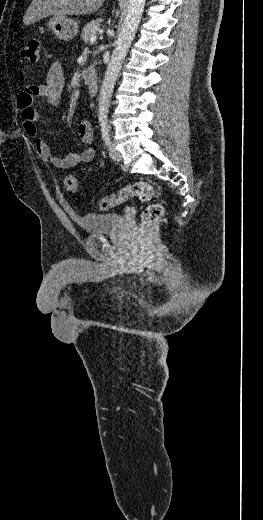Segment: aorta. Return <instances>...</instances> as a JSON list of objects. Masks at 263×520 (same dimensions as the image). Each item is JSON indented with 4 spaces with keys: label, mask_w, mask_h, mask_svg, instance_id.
Here are the masks:
<instances>
[{
    "label": "aorta",
    "mask_w": 263,
    "mask_h": 520,
    "mask_svg": "<svg viewBox=\"0 0 263 520\" xmlns=\"http://www.w3.org/2000/svg\"><path fill=\"white\" fill-rule=\"evenodd\" d=\"M146 0H129L127 15L116 41L115 49L108 64L98 98V118L105 121L113 94L114 85L123 60L135 37L137 27L140 23Z\"/></svg>",
    "instance_id": "762f6f07"
}]
</instances>
